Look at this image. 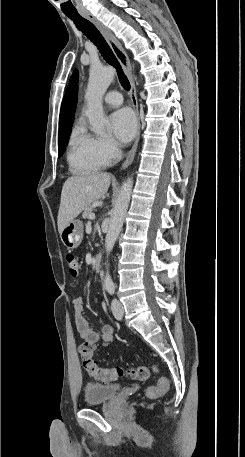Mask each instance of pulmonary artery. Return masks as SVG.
<instances>
[{
    "instance_id": "obj_1",
    "label": "pulmonary artery",
    "mask_w": 245,
    "mask_h": 457,
    "mask_svg": "<svg viewBox=\"0 0 245 457\" xmlns=\"http://www.w3.org/2000/svg\"><path fill=\"white\" fill-rule=\"evenodd\" d=\"M102 101L107 104L119 106L122 104V96L118 92H109L102 98Z\"/></svg>"
}]
</instances>
